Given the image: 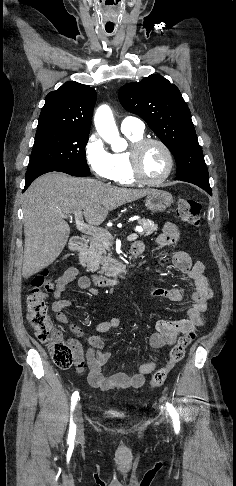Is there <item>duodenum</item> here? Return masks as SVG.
<instances>
[{"label":"duodenum","instance_id":"410a0bca","mask_svg":"<svg viewBox=\"0 0 236 486\" xmlns=\"http://www.w3.org/2000/svg\"><path fill=\"white\" fill-rule=\"evenodd\" d=\"M87 239L84 236H74L70 242V249L75 256H80L87 247ZM132 253L136 255L138 253L137 247H132ZM124 271L113 274L110 276L96 275L93 277V282L96 286L101 288L117 286L122 281V275Z\"/></svg>","mask_w":236,"mask_h":486}]
</instances>
